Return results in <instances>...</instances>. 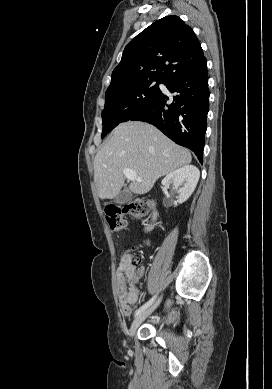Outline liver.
<instances>
[{
    "label": "liver",
    "instance_id": "6515ba94",
    "mask_svg": "<svg viewBox=\"0 0 272 389\" xmlns=\"http://www.w3.org/2000/svg\"><path fill=\"white\" fill-rule=\"evenodd\" d=\"M191 153L156 127L139 121L118 125L94 158V181L101 199L115 198L124 185V169L134 170L141 182L129 190L145 194L157 179L191 163Z\"/></svg>",
    "mask_w": 272,
    "mask_h": 389
}]
</instances>
